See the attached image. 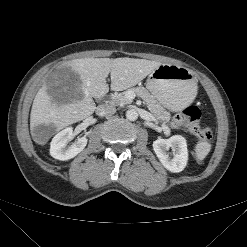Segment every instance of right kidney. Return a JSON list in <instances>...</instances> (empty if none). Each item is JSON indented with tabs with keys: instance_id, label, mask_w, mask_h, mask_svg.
I'll list each match as a JSON object with an SVG mask.
<instances>
[{
	"instance_id": "right-kidney-1",
	"label": "right kidney",
	"mask_w": 247,
	"mask_h": 247,
	"mask_svg": "<svg viewBox=\"0 0 247 247\" xmlns=\"http://www.w3.org/2000/svg\"><path fill=\"white\" fill-rule=\"evenodd\" d=\"M73 138V129L65 128L54 136L51 141L50 155L58 160H69L78 155L87 145L85 136L78 138L71 146L66 147L68 141Z\"/></svg>"
}]
</instances>
